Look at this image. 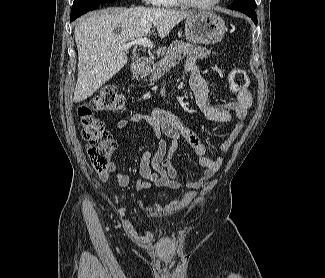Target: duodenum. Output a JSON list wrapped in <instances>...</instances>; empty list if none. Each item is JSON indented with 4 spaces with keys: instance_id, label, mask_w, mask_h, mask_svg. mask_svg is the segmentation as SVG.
I'll return each instance as SVG.
<instances>
[{
    "instance_id": "obj_1",
    "label": "duodenum",
    "mask_w": 325,
    "mask_h": 278,
    "mask_svg": "<svg viewBox=\"0 0 325 278\" xmlns=\"http://www.w3.org/2000/svg\"><path fill=\"white\" fill-rule=\"evenodd\" d=\"M152 66V62L148 58H140L137 60L133 72L135 76H143L144 73Z\"/></svg>"
}]
</instances>
